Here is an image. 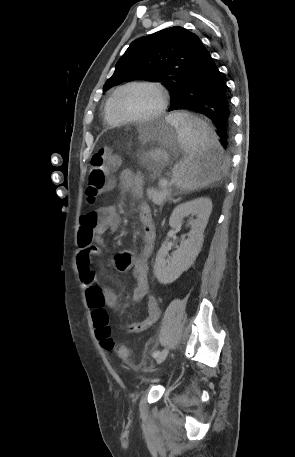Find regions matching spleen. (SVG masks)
I'll return each mask as SVG.
<instances>
[{
    "mask_svg": "<svg viewBox=\"0 0 295 457\" xmlns=\"http://www.w3.org/2000/svg\"><path fill=\"white\" fill-rule=\"evenodd\" d=\"M178 133L185 156L173 169L174 183L189 191L207 186L226 172L223 150L216 133L203 120L185 112L166 117Z\"/></svg>",
    "mask_w": 295,
    "mask_h": 457,
    "instance_id": "spleen-1",
    "label": "spleen"
}]
</instances>
